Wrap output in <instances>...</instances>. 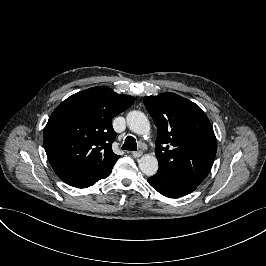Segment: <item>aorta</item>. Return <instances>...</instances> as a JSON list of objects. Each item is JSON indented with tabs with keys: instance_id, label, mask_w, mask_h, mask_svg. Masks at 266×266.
Masks as SVG:
<instances>
[{
	"instance_id": "aorta-1",
	"label": "aorta",
	"mask_w": 266,
	"mask_h": 266,
	"mask_svg": "<svg viewBox=\"0 0 266 266\" xmlns=\"http://www.w3.org/2000/svg\"><path fill=\"white\" fill-rule=\"evenodd\" d=\"M126 123L128 128L137 134L145 135L148 133L150 128L148 118L142 111L139 110L129 111L126 115ZM138 164L140 171L147 177L154 176L159 168L156 157L152 155L142 156L139 159Z\"/></svg>"
}]
</instances>
